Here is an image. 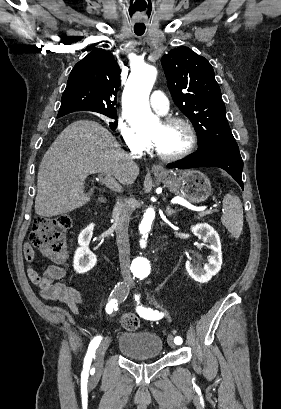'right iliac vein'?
<instances>
[{
	"mask_svg": "<svg viewBox=\"0 0 281 409\" xmlns=\"http://www.w3.org/2000/svg\"><path fill=\"white\" fill-rule=\"evenodd\" d=\"M110 338H106L101 345L99 346L97 352H96V357H95V366H96V371L100 372L102 367H103V361H104V355L106 350L108 349L110 345Z\"/></svg>",
	"mask_w": 281,
	"mask_h": 409,
	"instance_id": "right-iliac-vein-1",
	"label": "right iliac vein"
}]
</instances>
